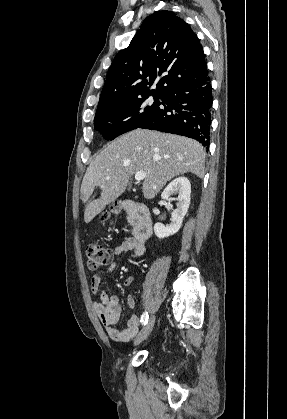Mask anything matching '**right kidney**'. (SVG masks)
<instances>
[{"mask_svg":"<svg viewBox=\"0 0 287 419\" xmlns=\"http://www.w3.org/2000/svg\"><path fill=\"white\" fill-rule=\"evenodd\" d=\"M172 194H178L177 208L171 213V223L164 226L161 223L154 225V233L159 239L174 235L182 226L183 218L190 205L191 185L186 177H179L168 184L163 190L161 198L169 199Z\"/></svg>","mask_w":287,"mask_h":419,"instance_id":"ca27d5eb","label":"right kidney"}]
</instances>
